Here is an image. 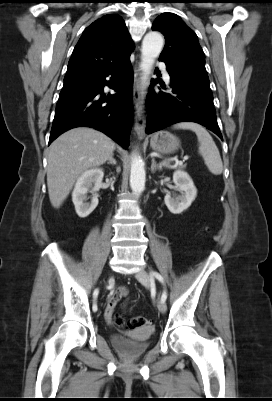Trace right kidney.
<instances>
[{"instance_id":"obj_1","label":"right kidney","mask_w":272,"mask_h":401,"mask_svg":"<svg viewBox=\"0 0 272 401\" xmlns=\"http://www.w3.org/2000/svg\"><path fill=\"white\" fill-rule=\"evenodd\" d=\"M104 172L100 168L87 170L77 180L72 192V201L77 215L80 218L87 217L98 205V195L96 194L101 187ZM91 190L93 197L90 203L87 200V193Z\"/></svg>"}]
</instances>
